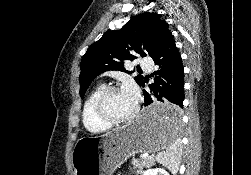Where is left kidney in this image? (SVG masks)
<instances>
[{
	"label": "left kidney",
	"instance_id": "left-kidney-1",
	"mask_svg": "<svg viewBox=\"0 0 251 175\" xmlns=\"http://www.w3.org/2000/svg\"><path fill=\"white\" fill-rule=\"evenodd\" d=\"M142 175H170L163 167H154V169H145Z\"/></svg>",
	"mask_w": 251,
	"mask_h": 175
}]
</instances>
